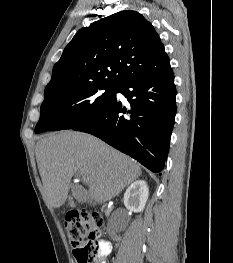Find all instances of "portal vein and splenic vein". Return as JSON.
Returning <instances> with one entry per match:
<instances>
[{"instance_id":"portal-vein-and-splenic-vein-1","label":"portal vein and splenic vein","mask_w":233,"mask_h":263,"mask_svg":"<svg viewBox=\"0 0 233 263\" xmlns=\"http://www.w3.org/2000/svg\"><path fill=\"white\" fill-rule=\"evenodd\" d=\"M82 180H83V182H85V183H90V179L87 178L86 176H82Z\"/></svg>"}]
</instances>
